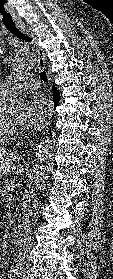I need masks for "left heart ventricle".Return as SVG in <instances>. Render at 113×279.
Instances as JSON below:
<instances>
[{"label": "left heart ventricle", "mask_w": 113, "mask_h": 279, "mask_svg": "<svg viewBox=\"0 0 113 279\" xmlns=\"http://www.w3.org/2000/svg\"><path fill=\"white\" fill-rule=\"evenodd\" d=\"M9 120L14 124L19 126L22 124L23 111L22 108H15L8 111Z\"/></svg>", "instance_id": "obj_1"}]
</instances>
